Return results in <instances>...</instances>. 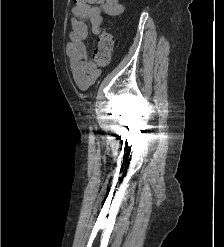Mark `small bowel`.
Masks as SVG:
<instances>
[{
    "label": "small bowel",
    "mask_w": 224,
    "mask_h": 247,
    "mask_svg": "<svg viewBox=\"0 0 224 247\" xmlns=\"http://www.w3.org/2000/svg\"><path fill=\"white\" fill-rule=\"evenodd\" d=\"M72 9L70 23L72 29L66 53L69 67L76 85L85 90L99 77L100 70L89 59L84 40L89 33L99 34L102 15L117 16L123 13L125 7L119 0H80Z\"/></svg>",
    "instance_id": "c3829d8e"
}]
</instances>
